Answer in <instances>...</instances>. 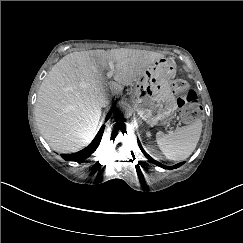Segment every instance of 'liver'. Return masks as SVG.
I'll return each mask as SVG.
<instances>
[{
  "label": "liver",
  "mask_w": 243,
  "mask_h": 243,
  "mask_svg": "<svg viewBox=\"0 0 243 243\" xmlns=\"http://www.w3.org/2000/svg\"><path fill=\"white\" fill-rule=\"evenodd\" d=\"M163 55L136 49L73 52L57 62L40 85L35 120L41 135L56 151L76 152L93 139L101 117L96 100L104 91L107 61L115 63L112 91H121L150 63Z\"/></svg>",
  "instance_id": "liver-1"
}]
</instances>
